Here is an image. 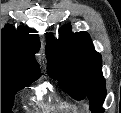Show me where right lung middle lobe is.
Segmentation results:
<instances>
[{"label": "right lung middle lobe", "mask_w": 121, "mask_h": 113, "mask_svg": "<svg viewBox=\"0 0 121 113\" xmlns=\"http://www.w3.org/2000/svg\"><path fill=\"white\" fill-rule=\"evenodd\" d=\"M37 79L10 66L1 65V113H12L14 94Z\"/></svg>", "instance_id": "dd1d6c3e"}]
</instances>
